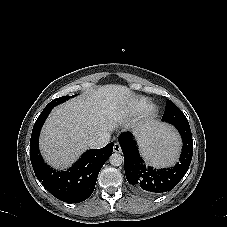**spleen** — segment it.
Segmentation results:
<instances>
[{
    "instance_id": "obj_1",
    "label": "spleen",
    "mask_w": 227,
    "mask_h": 227,
    "mask_svg": "<svg viewBox=\"0 0 227 227\" xmlns=\"http://www.w3.org/2000/svg\"><path fill=\"white\" fill-rule=\"evenodd\" d=\"M132 139L141 146L140 155L154 166H171L183 157L180 130L168 119L152 115L137 119L131 126Z\"/></svg>"
}]
</instances>
